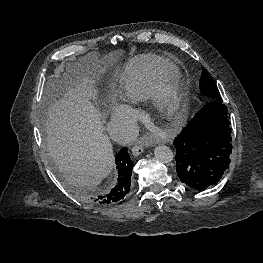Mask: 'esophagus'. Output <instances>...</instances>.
Masks as SVG:
<instances>
[{
  "label": "esophagus",
  "mask_w": 263,
  "mask_h": 263,
  "mask_svg": "<svg viewBox=\"0 0 263 263\" xmlns=\"http://www.w3.org/2000/svg\"><path fill=\"white\" fill-rule=\"evenodd\" d=\"M143 151H144V147L142 142H138L132 147V153L134 156L140 155Z\"/></svg>",
  "instance_id": "obj_1"
}]
</instances>
